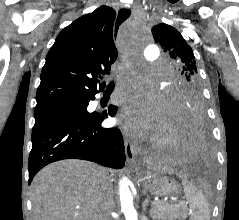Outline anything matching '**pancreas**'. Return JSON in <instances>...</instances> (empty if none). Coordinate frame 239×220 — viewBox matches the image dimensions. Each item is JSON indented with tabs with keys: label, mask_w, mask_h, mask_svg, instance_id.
<instances>
[{
	"label": "pancreas",
	"mask_w": 239,
	"mask_h": 220,
	"mask_svg": "<svg viewBox=\"0 0 239 220\" xmlns=\"http://www.w3.org/2000/svg\"><path fill=\"white\" fill-rule=\"evenodd\" d=\"M153 220H183L188 216L185 205H169L164 202H155L149 212Z\"/></svg>",
	"instance_id": "1"
}]
</instances>
